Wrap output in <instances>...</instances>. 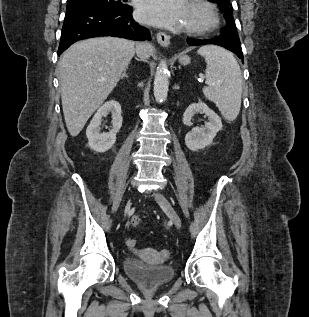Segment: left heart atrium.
<instances>
[{"label":"left heart atrium","mask_w":309,"mask_h":317,"mask_svg":"<svg viewBox=\"0 0 309 317\" xmlns=\"http://www.w3.org/2000/svg\"><path fill=\"white\" fill-rule=\"evenodd\" d=\"M188 0H140L137 18L144 23L167 28H182L189 13Z\"/></svg>","instance_id":"39dd6f15"}]
</instances>
